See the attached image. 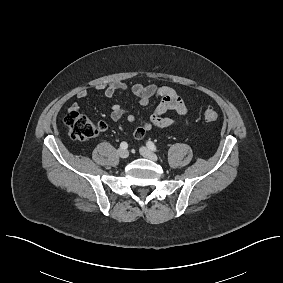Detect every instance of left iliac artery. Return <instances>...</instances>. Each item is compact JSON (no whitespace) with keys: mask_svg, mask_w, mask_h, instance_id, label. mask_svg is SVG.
I'll return each mask as SVG.
<instances>
[{"mask_svg":"<svg viewBox=\"0 0 283 283\" xmlns=\"http://www.w3.org/2000/svg\"><path fill=\"white\" fill-rule=\"evenodd\" d=\"M147 147H148L150 150H152V151H157V148H156L155 144H154L153 142H151V141H148V142H147Z\"/></svg>","mask_w":283,"mask_h":283,"instance_id":"44dca946","label":"left iliac artery"}]
</instances>
